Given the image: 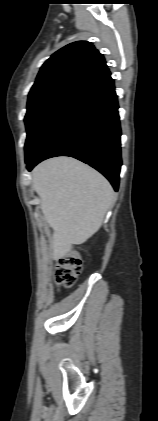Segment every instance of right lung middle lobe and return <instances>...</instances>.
Masks as SVG:
<instances>
[{"label": "right lung middle lobe", "instance_id": "dd1d6c3e", "mask_svg": "<svg viewBox=\"0 0 158 421\" xmlns=\"http://www.w3.org/2000/svg\"><path fill=\"white\" fill-rule=\"evenodd\" d=\"M79 87V84L64 82L29 93L25 116V159L32 154L53 116Z\"/></svg>", "mask_w": 158, "mask_h": 421}]
</instances>
